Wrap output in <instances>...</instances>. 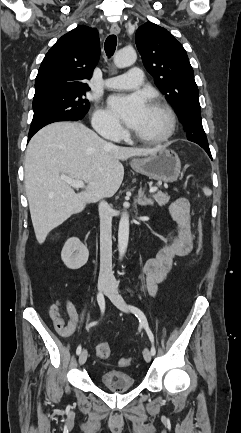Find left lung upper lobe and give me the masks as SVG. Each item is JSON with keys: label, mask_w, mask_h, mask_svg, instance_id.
Masks as SVG:
<instances>
[{"label": "left lung upper lobe", "mask_w": 241, "mask_h": 433, "mask_svg": "<svg viewBox=\"0 0 241 433\" xmlns=\"http://www.w3.org/2000/svg\"><path fill=\"white\" fill-rule=\"evenodd\" d=\"M135 40L145 68L177 110L188 140L209 147L194 72L181 43L166 29L151 22L137 29Z\"/></svg>", "instance_id": "5c2ea615"}]
</instances>
